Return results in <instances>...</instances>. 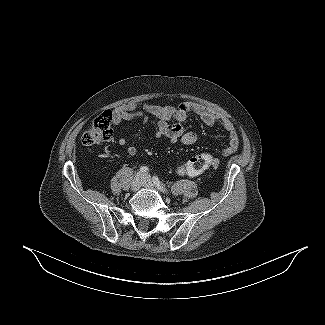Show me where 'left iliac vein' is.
Here are the masks:
<instances>
[{
	"label": "left iliac vein",
	"instance_id": "4c4485c4",
	"mask_svg": "<svg viewBox=\"0 0 325 325\" xmlns=\"http://www.w3.org/2000/svg\"><path fill=\"white\" fill-rule=\"evenodd\" d=\"M143 178H144V180H143L142 185H143L144 187L152 188V189L155 188L154 185H153V183H152V181H151V177H150V175L145 174V175H143Z\"/></svg>",
	"mask_w": 325,
	"mask_h": 325
}]
</instances>
